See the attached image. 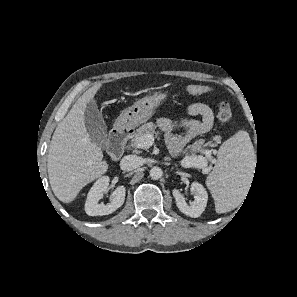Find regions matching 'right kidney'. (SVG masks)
I'll use <instances>...</instances> for the list:
<instances>
[{
    "label": "right kidney",
    "mask_w": 297,
    "mask_h": 297,
    "mask_svg": "<svg viewBox=\"0 0 297 297\" xmlns=\"http://www.w3.org/2000/svg\"><path fill=\"white\" fill-rule=\"evenodd\" d=\"M110 179L108 176L99 178L90 189L85 202V212L89 216H103L108 215L120 208L125 200L126 189L124 186L117 187L111 193L110 203L99 204L107 191Z\"/></svg>",
    "instance_id": "ca27d5eb"
}]
</instances>
